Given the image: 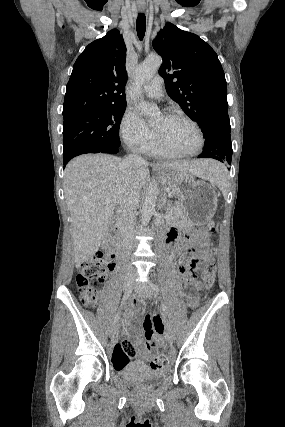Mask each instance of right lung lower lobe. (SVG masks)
<instances>
[{
  "label": "right lung lower lobe",
  "mask_w": 285,
  "mask_h": 427,
  "mask_svg": "<svg viewBox=\"0 0 285 427\" xmlns=\"http://www.w3.org/2000/svg\"><path fill=\"white\" fill-rule=\"evenodd\" d=\"M68 162H64V167H65V165L67 164Z\"/></svg>",
  "instance_id": "98d812e1"
}]
</instances>
